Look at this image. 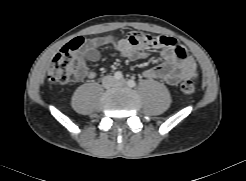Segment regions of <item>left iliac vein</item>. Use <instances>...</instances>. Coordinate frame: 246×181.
<instances>
[{
    "label": "left iliac vein",
    "instance_id": "1",
    "mask_svg": "<svg viewBox=\"0 0 246 181\" xmlns=\"http://www.w3.org/2000/svg\"><path fill=\"white\" fill-rule=\"evenodd\" d=\"M116 85L124 86V85H126V81L124 79H121V80L116 82Z\"/></svg>",
    "mask_w": 246,
    "mask_h": 181
}]
</instances>
